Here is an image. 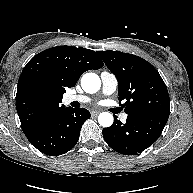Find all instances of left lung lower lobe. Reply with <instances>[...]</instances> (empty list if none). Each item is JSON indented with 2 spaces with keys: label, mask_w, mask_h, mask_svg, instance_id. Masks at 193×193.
<instances>
[{
  "label": "left lung lower lobe",
  "mask_w": 193,
  "mask_h": 193,
  "mask_svg": "<svg viewBox=\"0 0 193 193\" xmlns=\"http://www.w3.org/2000/svg\"><path fill=\"white\" fill-rule=\"evenodd\" d=\"M169 114L127 118L122 124L115 118L112 126L102 130L107 144L115 151L135 155L147 149L161 135Z\"/></svg>",
  "instance_id": "obj_1"
}]
</instances>
